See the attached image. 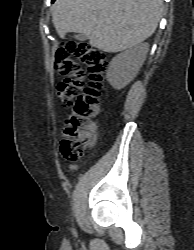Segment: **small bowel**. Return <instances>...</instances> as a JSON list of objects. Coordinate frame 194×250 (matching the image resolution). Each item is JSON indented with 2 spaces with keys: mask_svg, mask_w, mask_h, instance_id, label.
Returning a JSON list of instances; mask_svg holds the SVG:
<instances>
[{
  "mask_svg": "<svg viewBox=\"0 0 194 250\" xmlns=\"http://www.w3.org/2000/svg\"><path fill=\"white\" fill-rule=\"evenodd\" d=\"M89 128H90V132H91V136H92L91 144H93L94 141H95V137H96L97 126H96L95 123H90V124H89ZM73 168H74V167H73Z\"/></svg>",
  "mask_w": 194,
  "mask_h": 250,
  "instance_id": "c3829d8e",
  "label": "small bowel"
}]
</instances>
